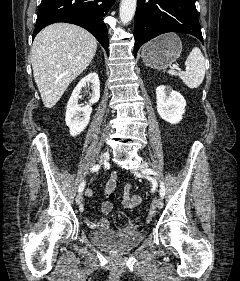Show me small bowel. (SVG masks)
<instances>
[{"label":"small bowel","mask_w":240,"mask_h":281,"mask_svg":"<svg viewBox=\"0 0 240 281\" xmlns=\"http://www.w3.org/2000/svg\"><path fill=\"white\" fill-rule=\"evenodd\" d=\"M117 173L113 172L110 176V179L107 184V189H115L117 183ZM87 196H92L93 192L91 190L86 191ZM123 205L127 208H135L142 202V197L138 194L131 193V185L126 183L123 190ZM84 210V206L80 207V211ZM112 210V204L109 201H104L101 204L100 211L102 214L106 215ZM87 225L91 229L105 230L109 227V222L106 218H95V219H86Z\"/></svg>","instance_id":"c3829d8e"}]
</instances>
